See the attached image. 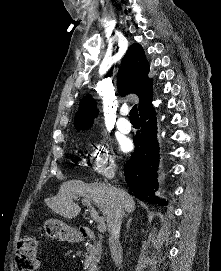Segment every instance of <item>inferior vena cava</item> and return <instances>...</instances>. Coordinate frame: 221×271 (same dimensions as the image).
Returning <instances> with one entry per match:
<instances>
[{"instance_id":"1","label":"inferior vena cava","mask_w":221,"mask_h":271,"mask_svg":"<svg viewBox=\"0 0 221 271\" xmlns=\"http://www.w3.org/2000/svg\"><path fill=\"white\" fill-rule=\"evenodd\" d=\"M124 213V207L120 199H118L114 209V217L111 221V225H109V249L111 251V257L119 269L122 267L123 261V249L119 237Z\"/></svg>"}]
</instances>
